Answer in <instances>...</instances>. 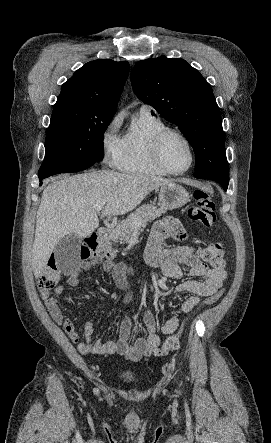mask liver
I'll return each instance as SVG.
<instances>
[{
	"instance_id": "obj_1",
	"label": "liver",
	"mask_w": 271,
	"mask_h": 443,
	"mask_svg": "<svg viewBox=\"0 0 271 443\" xmlns=\"http://www.w3.org/2000/svg\"><path fill=\"white\" fill-rule=\"evenodd\" d=\"M169 184L164 178L128 176L111 170L64 176L45 188L36 216L32 269L41 275L57 243L66 235L87 237L99 225L93 206L106 200L104 216H123L141 204L156 188Z\"/></svg>"
}]
</instances>
